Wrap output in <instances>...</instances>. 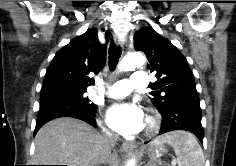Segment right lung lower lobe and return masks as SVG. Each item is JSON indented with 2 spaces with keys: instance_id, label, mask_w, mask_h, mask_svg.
<instances>
[{
  "instance_id": "1",
  "label": "right lung lower lobe",
  "mask_w": 236,
  "mask_h": 166,
  "mask_svg": "<svg viewBox=\"0 0 236 166\" xmlns=\"http://www.w3.org/2000/svg\"><path fill=\"white\" fill-rule=\"evenodd\" d=\"M95 112L87 111L81 108H68L63 110L56 111H44L39 112L37 123L34 131V136L37 131L48 121L59 117H73L80 120H83L91 125H96V120L94 118Z\"/></svg>"
}]
</instances>
